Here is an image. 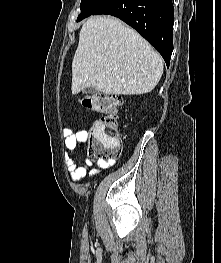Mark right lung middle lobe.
<instances>
[{"instance_id": "right-lung-middle-lobe-1", "label": "right lung middle lobe", "mask_w": 221, "mask_h": 263, "mask_svg": "<svg viewBox=\"0 0 221 263\" xmlns=\"http://www.w3.org/2000/svg\"><path fill=\"white\" fill-rule=\"evenodd\" d=\"M107 0H81V13L77 18V22L92 15Z\"/></svg>"}]
</instances>
